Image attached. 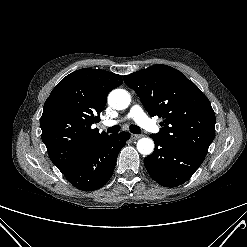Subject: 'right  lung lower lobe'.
Instances as JSON below:
<instances>
[{
  "label": "right lung lower lobe",
  "mask_w": 247,
  "mask_h": 247,
  "mask_svg": "<svg viewBox=\"0 0 247 247\" xmlns=\"http://www.w3.org/2000/svg\"><path fill=\"white\" fill-rule=\"evenodd\" d=\"M129 138L127 132L101 138L62 173L79 190L101 188L111 178L118 153Z\"/></svg>",
  "instance_id": "right-lung-lower-lobe-1"
}]
</instances>
